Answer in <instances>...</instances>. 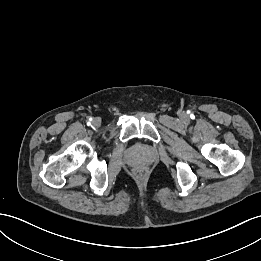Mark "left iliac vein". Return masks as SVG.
<instances>
[{"instance_id": "left-iliac-vein-1", "label": "left iliac vein", "mask_w": 261, "mask_h": 261, "mask_svg": "<svg viewBox=\"0 0 261 261\" xmlns=\"http://www.w3.org/2000/svg\"><path fill=\"white\" fill-rule=\"evenodd\" d=\"M182 119H186V115L184 113L181 114Z\"/></svg>"}]
</instances>
